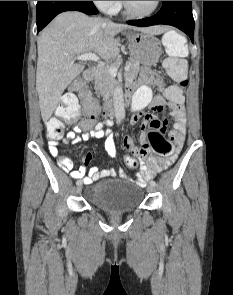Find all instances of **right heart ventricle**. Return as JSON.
Returning a JSON list of instances; mask_svg holds the SVG:
<instances>
[{"label": "right heart ventricle", "instance_id": "right-heart-ventricle-1", "mask_svg": "<svg viewBox=\"0 0 233 295\" xmlns=\"http://www.w3.org/2000/svg\"><path fill=\"white\" fill-rule=\"evenodd\" d=\"M121 10V4H120V2L118 3V6H117V8H116V10L114 11V12H118V11H120Z\"/></svg>", "mask_w": 233, "mask_h": 295}]
</instances>
